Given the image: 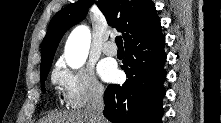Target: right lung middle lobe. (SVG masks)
Listing matches in <instances>:
<instances>
[{
	"mask_svg": "<svg viewBox=\"0 0 221 123\" xmlns=\"http://www.w3.org/2000/svg\"><path fill=\"white\" fill-rule=\"evenodd\" d=\"M51 64L50 63L48 66H46L44 69L40 70L41 72V85H42V90L44 91L45 88H44V82L46 81L47 79V75H48V72L50 71V67H51Z\"/></svg>",
	"mask_w": 221,
	"mask_h": 123,
	"instance_id": "obj_1",
	"label": "right lung middle lobe"
}]
</instances>
